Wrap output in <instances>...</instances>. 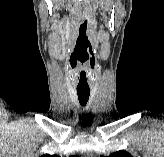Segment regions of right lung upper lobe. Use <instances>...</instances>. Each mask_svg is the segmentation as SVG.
I'll list each match as a JSON object with an SVG mask.
<instances>
[{
  "mask_svg": "<svg viewBox=\"0 0 164 157\" xmlns=\"http://www.w3.org/2000/svg\"><path fill=\"white\" fill-rule=\"evenodd\" d=\"M41 157H60V156H57V155H43ZM70 157H77V156H70Z\"/></svg>",
  "mask_w": 164,
  "mask_h": 157,
  "instance_id": "obj_1",
  "label": "right lung upper lobe"
}]
</instances>
